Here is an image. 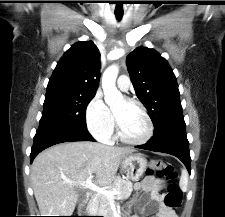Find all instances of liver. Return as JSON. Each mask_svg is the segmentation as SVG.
<instances>
[{
	"label": "liver",
	"mask_w": 225,
	"mask_h": 217,
	"mask_svg": "<svg viewBox=\"0 0 225 217\" xmlns=\"http://www.w3.org/2000/svg\"><path fill=\"white\" fill-rule=\"evenodd\" d=\"M133 152L87 141L60 143L42 151L30 173L42 216H71L78 201L77 183L95 178L98 185H109L122 160Z\"/></svg>",
	"instance_id": "1"
}]
</instances>
